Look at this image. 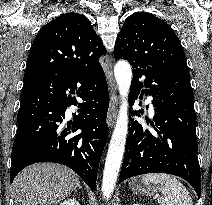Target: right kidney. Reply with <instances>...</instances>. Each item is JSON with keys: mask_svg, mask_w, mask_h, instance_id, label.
<instances>
[{"mask_svg": "<svg viewBox=\"0 0 212 205\" xmlns=\"http://www.w3.org/2000/svg\"><path fill=\"white\" fill-rule=\"evenodd\" d=\"M60 205H80L78 201L74 199H68L64 202H62Z\"/></svg>", "mask_w": 212, "mask_h": 205, "instance_id": "right-kidney-1", "label": "right kidney"}]
</instances>
